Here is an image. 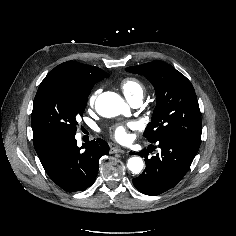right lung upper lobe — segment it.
I'll return each mask as SVG.
<instances>
[{
	"mask_svg": "<svg viewBox=\"0 0 236 236\" xmlns=\"http://www.w3.org/2000/svg\"><path fill=\"white\" fill-rule=\"evenodd\" d=\"M46 77L65 78L88 89L93 88V85L100 80L109 77V74L94 66L67 61L55 67Z\"/></svg>",
	"mask_w": 236,
	"mask_h": 236,
	"instance_id": "cb5924a9",
	"label": "right lung upper lobe"
}]
</instances>
